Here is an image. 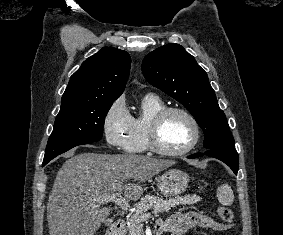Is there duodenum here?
Segmentation results:
<instances>
[{
  "mask_svg": "<svg viewBox=\"0 0 283 235\" xmlns=\"http://www.w3.org/2000/svg\"><path fill=\"white\" fill-rule=\"evenodd\" d=\"M124 227H125L124 220H121V219L116 220L109 227L107 234L108 235H121ZM155 230H156L157 235H159V225L158 224H156Z\"/></svg>",
  "mask_w": 283,
  "mask_h": 235,
  "instance_id": "1",
  "label": "duodenum"
}]
</instances>
